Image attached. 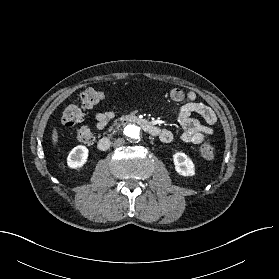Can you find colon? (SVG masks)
Returning a JSON list of instances; mask_svg holds the SVG:
<instances>
[{
	"label": "colon",
	"mask_w": 279,
	"mask_h": 279,
	"mask_svg": "<svg viewBox=\"0 0 279 279\" xmlns=\"http://www.w3.org/2000/svg\"><path fill=\"white\" fill-rule=\"evenodd\" d=\"M103 93L96 88H87L81 92L78 102L68 103L62 113V123L69 128H76V138L84 144H91L94 136L90 129L80 126L84 118V111L90 109L103 100ZM199 154L204 160H212L215 149L209 141H205L199 148Z\"/></svg>",
	"instance_id": "colon-1"
}]
</instances>
